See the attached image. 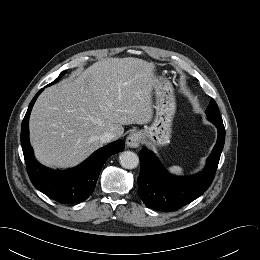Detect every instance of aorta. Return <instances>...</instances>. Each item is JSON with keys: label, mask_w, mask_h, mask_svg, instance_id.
<instances>
[{"label": "aorta", "mask_w": 260, "mask_h": 260, "mask_svg": "<svg viewBox=\"0 0 260 260\" xmlns=\"http://www.w3.org/2000/svg\"><path fill=\"white\" fill-rule=\"evenodd\" d=\"M120 165L126 169H134L139 164V157L132 151H124L119 156Z\"/></svg>", "instance_id": "762f6f07"}]
</instances>
